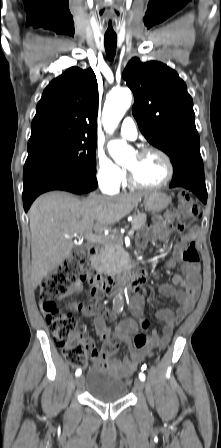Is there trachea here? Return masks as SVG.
I'll use <instances>...</instances> for the list:
<instances>
[{"label": "trachea", "mask_w": 221, "mask_h": 448, "mask_svg": "<svg viewBox=\"0 0 221 448\" xmlns=\"http://www.w3.org/2000/svg\"><path fill=\"white\" fill-rule=\"evenodd\" d=\"M104 45L106 50V55L109 61H113L116 47H117V38L116 36L105 35L104 37Z\"/></svg>", "instance_id": "1"}]
</instances>
